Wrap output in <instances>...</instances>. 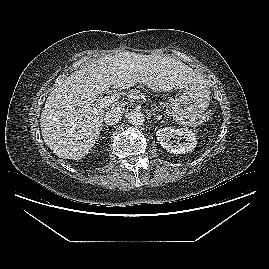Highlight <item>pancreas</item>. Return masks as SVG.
Segmentation results:
<instances>
[{"label":"pancreas","mask_w":269,"mask_h":269,"mask_svg":"<svg viewBox=\"0 0 269 269\" xmlns=\"http://www.w3.org/2000/svg\"><path fill=\"white\" fill-rule=\"evenodd\" d=\"M129 93L134 96L140 95V91L138 89H132L129 91Z\"/></svg>","instance_id":"cf45deb5"}]
</instances>
